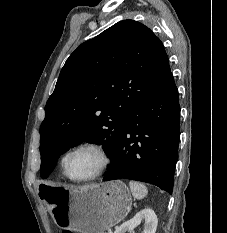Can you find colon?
<instances>
[{
  "label": "colon",
  "instance_id": "1",
  "mask_svg": "<svg viewBox=\"0 0 227 233\" xmlns=\"http://www.w3.org/2000/svg\"><path fill=\"white\" fill-rule=\"evenodd\" d=\"M62 233H73V232L64 230V231H62Z\"/></svg>",
  "mask_w": 227,
  "mask_h": 233
}]
</instances>
